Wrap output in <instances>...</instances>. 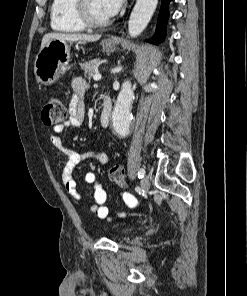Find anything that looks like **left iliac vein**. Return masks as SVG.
Masks as SVG:
<instances>
[{"instance_id":"4c4485c4","label":"left iliac vein","mask_w":247,"mask_h":296,"mask_svg":"<svg viewBox=\"0 0 247 296\" xmlns=\"http://www.w3.org/2000/svg\"><path fill=\"white\" fill-rule=\"evenodd\" d=\"M141 187L145 191H147L149 189V187H150V181H149V177L148 176H143V178L141 180Z\"/></svg>"}]
</instances>
